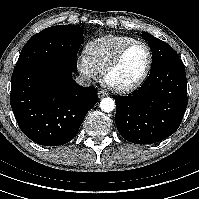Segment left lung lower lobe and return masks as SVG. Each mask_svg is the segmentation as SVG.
I'll return each mask as SVG.
<instances>
[{
    "label": "left lung lower lobe",
    "instance_id": "left-lung-lower-lobe-1",
    "mask_svg": "<svg viewBox=\"0 0 199 199\" xmlns=\"http://www.w3.org/2000/svg\"><path fill=\"white\" fill-rule=\"evenodd\" d=\"M115 102V123L127 141L149 144L170 136L178 129L188 102L181 59L161 62L138 90L116 97Z\"/></svg>",
    "mask_w": 199,
    "mask_h": 199
}]
</instances>
